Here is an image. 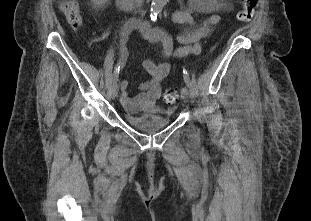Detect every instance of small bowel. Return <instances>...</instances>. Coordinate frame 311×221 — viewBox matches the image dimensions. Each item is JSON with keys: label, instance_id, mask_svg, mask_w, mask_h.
<instances>
[{"label": "small bowel", "instance_id": "c3829d8e", "mask_svg": "<svg viewBox=\"0 0 311 221\" xmlns=\"http://www.w3.org/2000/svg\"><path fill=\"white\" fill-rule=\"evenodd\" d=\"M192 11V8H181L171 15L172 22L187 27V30L177 38V41L181 44L178 48L174 47L172 37L165 32L153 29L149 25L141 27L142 36L145 41L159 47L158 55L161 59L169 60L190 54H199L201 52V40L220 22L218 15H211L202 22H198L194 19ZM133 28L134 25L128 26L121 33V60H125L127 56L125 41L129 31ZM143 68L150 75V80L139 85L141 93L138 96L131 97L129 95V82L127 80H122L120 83L121 100L133 112L142 106H154L156 104L162 93V82L170 73L171 64L168 61L156 63L146 60L143 62Z\"/></svg>", "mask_w": 311, "mask_h": 221}]
</instances>
